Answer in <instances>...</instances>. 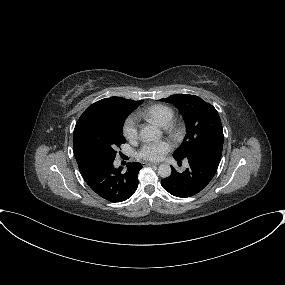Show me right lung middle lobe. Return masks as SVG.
<instances>
[{
  "instance_id": "dd1d6c3e",
  "label": "right lung middle lobe",
  "mask_w": 285,
  "mask_h": 285,
  "mask_svg": "<svg viewBox=\"0 0 285 285\" xmlns=\"http://www.w3.org/2000/svg\"><path fill=\"white\" fill-rule=\"evenodd\" d=\"M137 106L116 108L110 113L77 122L74 129L73 147L77 163L114 161L116 148L125 143L124 121Z\"/></svg>"
}]
</instances>
